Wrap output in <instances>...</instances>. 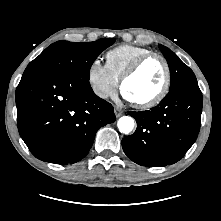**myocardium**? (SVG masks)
Returning <instances> with one entry per match:
<instances>
[{
	"instance_id": "1",
	"label": "myocardium",
	"mask_w": 221,
	"mask_h": 221,
	"mask_svg": "<svg viewBox=\"0 0 221 221\" xmlns=\"http://www.w3.org/2000/svg\"><path fill=\"white\" fill-rule=\"evenodd\" d=\"M152 58H157L159 59L165 69V79H164V83L161 87V89L159 90V92L153 96L152 98L146 100V101H142V102H133V104L140 109H148V108H152L156 105H158L160 102H162L164 100V98L167 96L170 86H171V80H172V76H171V67L170 64L168 62V60L166 59V57L160 53L157 52H150L147 53L141 57H139L126 71L125 73L122 75V77L120 78V86L122 91H124V84L127 80H129L130 78H132L141 68L142 66L150 59Z\"/></svg>"
}]
</instances>
